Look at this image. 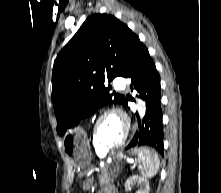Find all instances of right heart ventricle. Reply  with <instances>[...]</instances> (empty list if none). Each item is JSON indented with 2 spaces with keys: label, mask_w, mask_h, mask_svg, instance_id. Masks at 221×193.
Here are the masks:
<instances>
[{
  "label": "right heart ventricle",
  "mask_w": 221,
  "mask_h": 193,
  "mask_svg": "<svg viewBox=\"0 0 221 193\" xmlns=\"http://www.w3.org/2000/svg\"><path fill=\"white\" fill-rule=\"evenodd\" d=\"M93 147H94V151L95 153L99 156V157H102L106 154V152H104L102 149H100L98 146H96L94 143H93Z\"/></svg>",
  "instance_id": "e07e8e85"
}]
</instances>
